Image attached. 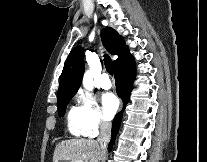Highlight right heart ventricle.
<instances>
[{"label":"right heart ventricle","instance_id":"right-heart-ventricle-1","mask_svg":"<svg viewBox=\"0 0 207 162\" xmlns=\"http://www.w3.org/2000/svg\"><path fill=\"white\" fill-rule=\"evenodd\" d=\"M67 129L73 136H85L80 106L72 105L69 108L67 113Z\"/></svg>","mask_w":207,"mask_h":162}]
</instances>
